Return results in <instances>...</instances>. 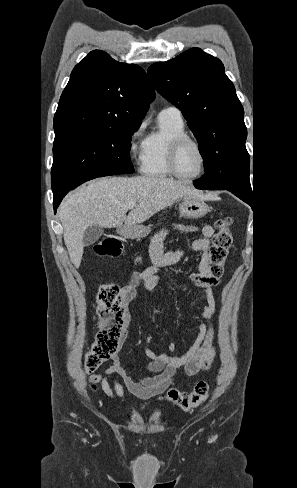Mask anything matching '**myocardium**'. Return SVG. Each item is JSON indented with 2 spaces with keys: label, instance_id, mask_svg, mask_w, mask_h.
<instances>
[{
  "label": "myocardium",
  "instance_id": "1",
  "mask_svg": "<svg viewBox=\"0 0 297 488\" xmlns=\"http://www.w3.org/2000/svg\"><path fill=\"white\" fill-rule=\"evenodd\" d=\"M186 143H191V144L195 145L196 148L198 149L199 153H200V156H201L200 170L192 176L183 175L177 167L178 154H179L181 148ZM167 166H168L170 172L172 173V175H174L175 177H177L181 180H184V181L196 180L197 178L201 177L206 171V167H207L206 150L203 147V145L198 140H196L195 138H193L187 134L178 136V137L174 138L169 145L168 152H167Z\"/></svg>",
  "mask_w": 297,
  "mask_h": 488
}]
</instances>
